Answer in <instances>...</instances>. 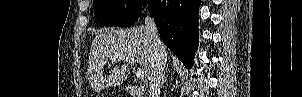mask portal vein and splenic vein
<instances>
[{
	"label": "portal vein and splenic vein",
	"instance_id": "portal-vein-and-splenic-vein-1",
	"mask_svg": "<svg viewBox=\"0 0 302 97\" xmlns=\"http://www.w3.org/2000/svg\"><path fill=\"white\" fill-rule=\"evenodd\" d=\"M122 59L126 60L128 63L133 64V65L136 63V60L134 58L123 57V56L115 57V58H113V61L122 60ZM135 74H136L137 78L141 79L144 77V73H143L142 69H136Z\"/></svg>",
	"mask_w": 302,
	"mask_h": 97
}]
</instances>
